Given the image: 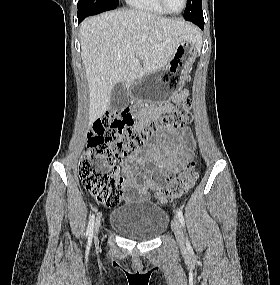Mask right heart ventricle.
Segmentation results:
<instances>
[{"label":"right heart ventricle","mask_w":280,"mask_h":285,"mask_svg":"<svg viewBox=\"0 0 280 285\" xmlns=\"http://www.w3.org/2000/svg\"><path fill=\"white\" fill-rule=\"evenodd\" d=\"M128 4L138 10L159 15L168 14L159 3V0H127Z\"/></svg>","instance_id":"obj_1"}]
</instances>
